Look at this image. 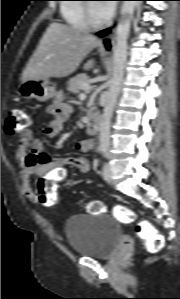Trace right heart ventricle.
I'll return each instance as SVG.
<instances>
[{
    "label": "right heart ventricle",
    "instance_id": "right-heart-ventricle-1",
    "mask_svg": "<svg viewBox=\"0 0 180 299\" xmlns=\"http://www.w3.org/2000/svg\"><path fill=\"white\" fill-rule=\"evenodd\" d=\"M67 3L61 5V13L65 22L76 29H87L88 25L85 17L83 4L69 3L81 0H65Z\"/></svg>",
    "mask_w": 180,
    "mask_h": 299
}]
</instances>
